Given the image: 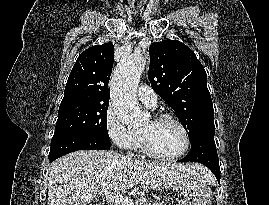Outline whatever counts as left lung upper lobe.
<instances>
[{
    "label": "left lung upper lobe",
    "mask_w": 269,
    "mask_h": 205,
    "mask_svg": "<svg viewBox=\"0 0 269 205\" xmlns=\"http://www.w3.org/2000/svg\"><path fill=\"white\" fill-rule=\"evenodd\" d=\"M148 78L151 87L176 112L192 142L215 130L207 74L195 53L177 40L153 43Z\"/></svg>",
    "instance_id": "1"
}]
</instances>
